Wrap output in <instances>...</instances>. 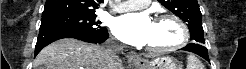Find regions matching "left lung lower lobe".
Segmentation results:
<instances>
[{
  "label": "left lung lower lobe",
  "instance_id": "obj_1",
  "mask_svg": "<svg viewBox=\"0 0 246 69\" xmlns=\"http://www.w3.org/2000/svg\"><path fill=\"white\" fill-rule=\"evenodd\" d=\"M181 50L193 52V53H195V54L203 57L208 62H210L209 57H208L207 48L204 47L201 44H198V43H190L187 46L183 47Z\"/></svg>",
  "mask_w": 246,
  "mask_h": 69
}]
</instances>
